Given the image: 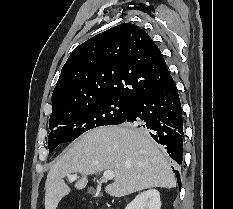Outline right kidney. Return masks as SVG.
Returning <instances> with one entry per match:
<instances>
[{"label":"right kidney","instance_id":"obj_1","mask_svg":"<svg viewBox=\"0 0 233 209\" xmlns=\"http://www.w3.org/2000/svg\"><path fill=\"white\" fill-rule=\"evenodd\" d=\"M125 209H161L160 194L150 189L139 194Z\"/></svg>","mask_w":233,"mask_h":209}]
</instances>
